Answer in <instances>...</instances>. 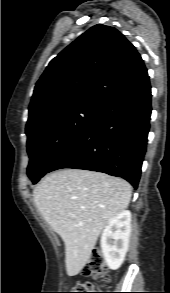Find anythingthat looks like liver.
I'll use <instances>...</instances> for the list:
<instances>
[{"instance_id":"obj_1","label":"liver","mask_w":170,"mask_h":293,"mask_svg":"<svg viewBox=\"0 0 170 293\" xmlns=\"http://www.w3.org/2000/svg\"><path fill=\"white\" fill-rule=\"evenodd\" d=\"M131 194L127 181L81 169L58 170L35 187V205L64 241L69 276L81 272L103 228L128 207Z\"/></svg>"}]
</instances>
